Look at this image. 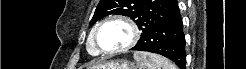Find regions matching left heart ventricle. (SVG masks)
Returning <instances> with one entry per match:
<instances>
[{"label":"left heart ventricle","instance_id":"obj_1","mask_svg":"<svg viewBox=\"0 0 246 69\" xmlns=\"http://www.w3.org/2000/svg\"><path fill=\"white\" fill-rule=\"evenodd\" d=\"M130 37V29L120 21L108 22L98 33L99 43L105 49L120 48Z\"/></svg>","mask_w":246,"mask_h":69}]
</instances>
